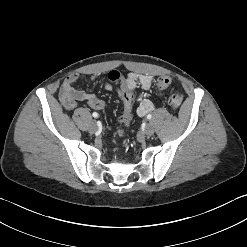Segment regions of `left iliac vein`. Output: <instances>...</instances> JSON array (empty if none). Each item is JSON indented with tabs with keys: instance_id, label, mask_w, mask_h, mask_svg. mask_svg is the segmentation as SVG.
<instances>
[{
	"instance_id": "1",
	"label": "left iliac vein",
	"mask_w": 247,
	"mask_h": 247,
	"mask_svg": "<svg viewBox=\"0 0 247 247\" xmlns=\"http://www.w3.org/2000/svg\"><path fill=\"white\" fill-rule=\"evenodd\" d=\"M145 134L147 136H152L154 134V127L151 123L147 124L145 127Z\"/></svg>"
}]
</instances>
